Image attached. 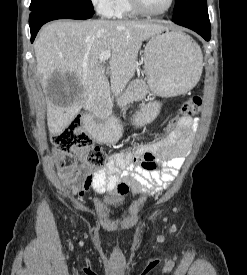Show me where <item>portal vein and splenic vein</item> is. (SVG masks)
I'll use <instances>...</instances> for the list:
<instances>
[{"label": "portal vein and splenic vein", "instance_id": "obj_1", "mask_svg": "<svg viewBox=\"0 0 247 275\" xmlns=\"http://www.w3.org/2000/svg\"><path fill=\"white\" fill-rule=\"evenodd\" d=\"M111 57V51L107 50L100 54L99 61L105 63Z\"/></svg>", "mask_w": 247, "mask_h": 275}]
</instances>
